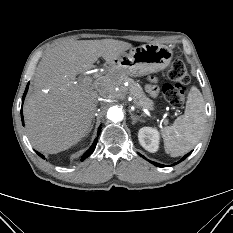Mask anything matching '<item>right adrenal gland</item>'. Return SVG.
<instances>
[{"mask_svg": "<svg viewBox=\"0 0 233 233\" xmlns=\"http://www.w3.org/2000/svg\"><path fill=\"white\" fill-rule=\"evenodd\" d=\"M94 121H95V119H93V122H92V124H91V127H90V129H89V132H90V131L92 130V128H93Z\"/></svg>", "mask_w": 233, "mask_h": 233, "instance_id": "obj_1", "label": "right adrenal gland"}]
</instances>
